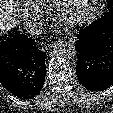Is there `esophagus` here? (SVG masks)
Segmentation results:
<instances>
[{
	"instance_id": "obj_1",
	"label": "esophagus",
	"mask_w": 113,
	"mask_h": 113,
	"mask_svg": "<svg viewBox=\"0 0 113 113\" xmlns=\"http://www.w3.org/2000/svg\"><path fill=\"white\" fill-rule=\"evenodd\" d=\"M65 39L70 41V42H75L76 37H74V36H67V37H65Z\"/></svg>"
}]
</instances>
